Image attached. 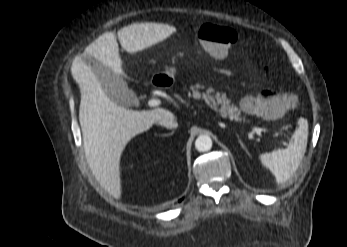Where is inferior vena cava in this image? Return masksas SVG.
<instances>
[{"label": "inferior vena cava", "instance_id": "inferior-vena-cava-1", "mask_svg": "<svg viewBox=\"0 0 347 247\" xmlns=\"http://www.w3.org/2000/svg\"><path fill=\"white\" fill-rule=\"evenodd\" d=\"M158 124L168 129H175L178 127L177 121L174 119L173 114L169 111H165L161 116H159Z\"/></svg>", "mask_w": 347, "mask_h": 247}]
</instances>
